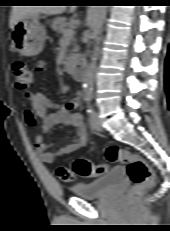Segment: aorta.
I'll list each match as a JSON object with an SVG mask.
<instances>
[{
	"mask_svg": "<svg viewBox=\"0 0 170 231\" xmlns=\"http://www.w3.org/2000/svg\"><path fill=\"white\" fill-rule=\"evenodd\" d=\"M107 12V6H97L95 9V46L94 50L92 51L91 62L88 65L86 74L83 79L84 88L86 91H92L93 85L95 81V72H96V60L98 57V43H99V35L101 32V27L104 22L105 16Z\"/></svg>",
	"mask_w": 170,
	"mask_h": 231,
	"instance_id": "1",
	"label": "aorta"
}]
</instances>
